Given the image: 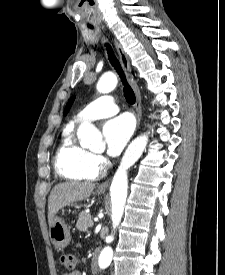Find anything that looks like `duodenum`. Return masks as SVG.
Masks as SVG:
<instances>
[{"mask_svg": "<svg viewBox=\"0 0 225 275\" xmlns=\"http://www.w3.org/2000/svg\"><path fill=\"white\" fill-rule=\"evenodd\" d=\"M90 268H91L92 273H95L97 271V261L95 258V254L91 260Z\"/></svg>", "mask_w": 225, "mask_h": 275, "instance_id": "410a0bca", "label": "duodenum"}]
</instances>
